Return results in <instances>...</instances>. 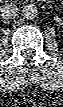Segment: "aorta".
Listing matches in <instances>:
<instances>
[{
    "label": "aorta",
    "instance_id": "762f6f07",
    "mask_svg": "<svg viewBox=\"0 0 63 107\" xmlns=\"http://www.w3.org/2000/svg\"><path fill=\"white\" fill-rule=\"evenodd\" d=\"M23 17L27 20H33L38 16L37 7L33 4L25 5L22 9Z\"/></svg>",
    "mask_w": 63,
    "mask_h": 107
}]
</instances>
